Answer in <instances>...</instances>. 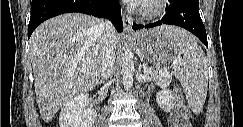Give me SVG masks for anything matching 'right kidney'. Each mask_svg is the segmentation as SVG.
Here are the masks:
<instances>
[{
	"mask_svg": "<svg viewBox=\"0 0 243 127\" xmlns=\"http://www.w3.org/2000/svg\"><path fill=\"white\" fill-rule=\"evenodd\" d=\"M89 104V94H79L67 101L60 112V127H92L97 114Z\"/></svg>",
	"mask_w": 243,
	"mask_h": 127,
	"instance_id": "1",
	"label": "right kidney"
}]
</instances>
